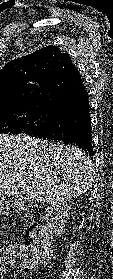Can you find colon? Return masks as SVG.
I'll return each mask as SVG.
<instances>
[{"label":"colon","instance_id":"1","mask_svg":"<svg viewBox=\"0 0 113 279\" xmlns=\"http://www.w3.org/2000/svg\"><path fill=\"white\" fill-rule=\"evenodd\" d=\"M50 250L48 238L40 225H34L29 234V241L22 251L12 250L0 243V270L3 264L17 265L31 259H40Z\"/></svg>","mask_w":113,"mask_h":279}]
</instances>
